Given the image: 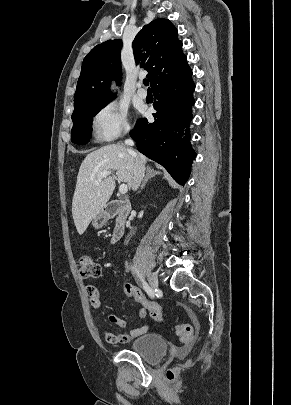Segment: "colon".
<instances>
[{
    "label": "colon",
    "instance_id": "5ec220e1",
    "mask_svg": "<svg viewBox=\"0 0 291 405\" xmlns=\"http://www.w3.org/2000/svg\"><path fill=\"white\" fill-rule=\"evenodd\" d=\"M79 273L83 278H98L101 275V267L91 255L84 254L79 258ZM125 292L128 296L135 298L142 306H144L150 313L152 319L157 322L163 321L162 308L158 303L148 300L138 288L131 284H126ZM89 296H97V290L95 287H89ZM174 331L184 343H189L194 339V329L190 324H178L174 327ZM166 377L170 381L173 380L175 377L174 370H168Z\"/></svg>",
    "mask_w": 291,
    "mask_h": 405
}]
</instances>
